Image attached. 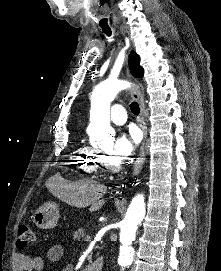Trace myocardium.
I'll return each mask as SVG.
<instances>
[{
	"mask_svg": "<svg viewBox=\"0 0 221 271\" xmlns=\"http://www.w3.org/2000/svg\"><path fill=\"white\" fill-rule=\"evenodd\" d=\"M128 158H107L102 164L106 171H127Z\"/></svg>",
	"mask_w": 221,
	"mask_h": 271,
	"instance_id": "myocardium-1",
	"label": "myocardium"
}]
</instances>
